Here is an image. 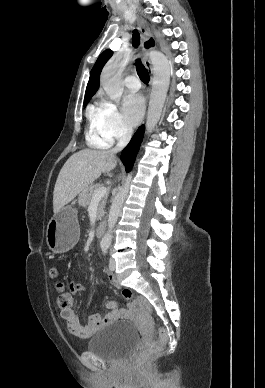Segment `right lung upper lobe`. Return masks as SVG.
I'll use <instances>...</instances> for the list:
<instances>
[{
  "label": "right lung upper lobe",
  "instance_id": "cb5924a9",
  "mask_svg": "<svg viewBox=\"0 0 265 388\" xmlns=\"http://www.w3.org/2000/svg\"><path fill=\"white\" fill-rule=\"evenodd\" d=\"M113 52L110 49L105 50L97 59L91 73L88 85L86 87L84 104L88 103L91 97L96 93L99 88V76L105 63L112 56Z\"/></svg>",
  "mask_w": 265,
  "mask_h": 388
}]
</instances>
